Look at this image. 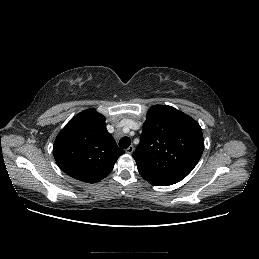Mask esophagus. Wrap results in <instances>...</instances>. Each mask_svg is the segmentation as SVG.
Listing matches in <instances>:
<instances>
[{
  "label": "esophagus",
  "mask_w": 259,
  "mask_h": 259,
  "mask_svg": "<svg viewBox=\"0 0 259 259\" xmlns=\"http://www.w3.org/2000/svg\"><path fill=\"white\" fill-rule=\"evenodd\" d=\"M134 152V146H129L127 149H126V153L128 154H132Z\"/></svg>",
  "instance_id": "1"
}]
</instances>
